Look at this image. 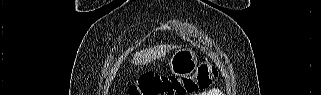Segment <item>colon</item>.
I'll use <instances>...</instances> for the list:
<instances>
[{"mask_svg":"<svg viewBox=\"0 0 321 95\" xmlns=\"http://www.w3.org/2000/svg\"><path fill=\"white\" fill-rule=\"evenodd\" d=\"M219 76L211 66H201L190 77H172L162 75H144L133 84L132 95H185L207 89Z\"/></svg>","mask_w":321,"mask_h":95,"instance_id":"1","label":"colon"}]
</instances>
